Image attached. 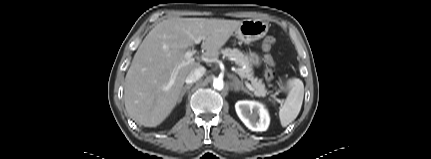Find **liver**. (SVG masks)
Masks as SVG:
<instances>
[{"label": "liver", "mask_w": 431, "mask_h": 159, "mask_svg": "<svg viewBox=\"0 0 431 159\" xmlns=\"http://www.w3.org/2000/svg\"><path fill=\"white\" fill-rule=\"evenodd\" d=\"M242 21L206 18H169L144 38L125 77L124 101L129 116L140 125L156 127L172 112L186 77L201 67L188 63L186 49L203 36V58L214 60ZM172 86L167 89L170 80Z\"/></svg>", "instance_id": "liver-1"}]
</instances>
